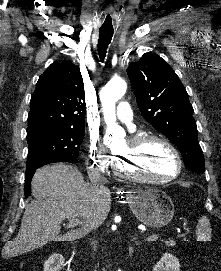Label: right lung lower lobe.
I'll list each match as a JSON object with an SVG mask.
<instances>
[{"instance_id":"98d812e1","label":"right lung lower lobe","mask_w":221,"mask_h":271,"mask_svg":"<svg viewBox=\"0 0 221 271\" xmlns=\"http://www.w3.org/2000/svg\"><path fill=\"white\" fill-rule=\"evenodd\" d=\"M36 169L37 168L26 169L25 187H24V195H25V197H28L29 195H31V180H32V177H33Z\"/></svg>"}]
</instances>
